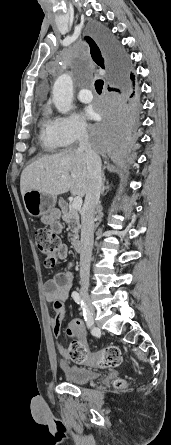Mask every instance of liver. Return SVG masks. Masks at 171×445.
I'll return each mask as SVG.
<instances>
[{"label": "liver", "instance_id": "obj_1", "mask_svg": "<svg viewBox=\"0 0 171 445\" xmlns=\"http://www.w3.org/2000/svg\"><path fill=\"white\" fill-rule=\"evenodd\" d=\"M89 181L84 152L68 149L44 156L27 166L21 174L20 191L22 196L29 190H37L57 197L70 190L73 195L83 197Z\"/></svg>", "mask_w": 171, "mask_h": 445}]
</instances>
